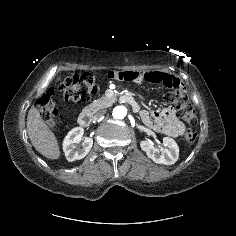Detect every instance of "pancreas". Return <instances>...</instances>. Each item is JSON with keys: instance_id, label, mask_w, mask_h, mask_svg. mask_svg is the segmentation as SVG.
<instances>
[{"instance_id": "obj_1", "label": "pancreas", "mask_w": 236, "mask_h": 236, "mask_svg": "<svg viewBox=\"0 0 236 236\" xmlns=\"http://www.w3.org/2000/svg\"><path fill=\"white\" fill-rule=\"evenodd\" d=\"M110 106V100L106 97H101L98 100L93 101L91 104L85 107L87 111L98 112L106 107Z\"/></svg>"}]
</instances>
